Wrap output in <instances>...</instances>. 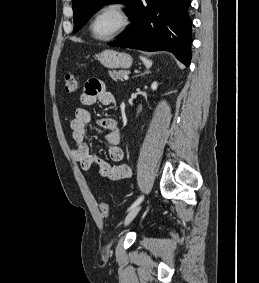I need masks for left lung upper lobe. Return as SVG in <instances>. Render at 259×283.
<instances>
[{
  "mask_svg": "<svg viewBox=\"0 0 259 283\" xmlns=\"http://www.w3.org/2000/svg\"><path fill=\"white\" fill-rule=\"evenodd\" d=\"M110 3L126 4L131 9L126 11V13L130 15L135 0H72L74 19L73 33H76L92 17L97 9Z\"/></svg>",
  "mask_w": 259,
  "mask_h": 283,
  "instance_id": "1",
  "label": "left lung upper lobe"
}]
</instances>
